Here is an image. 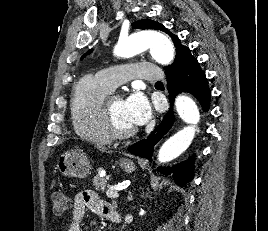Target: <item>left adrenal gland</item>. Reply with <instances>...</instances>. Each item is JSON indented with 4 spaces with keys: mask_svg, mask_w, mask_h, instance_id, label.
<instances>
[{
    "mask_svg": "<svg viewBox=\"0 0 268 231\" xmlns=\"http://www.w3.org/2000/svg\"><path fill=\"white\" fill-rule=\"evenodd\" d=\"M128 200L129 201H132L133 200V196H132V193L131 192H129Z\"/></svg>",
    "mask_w": 268,
    "mask_h": 231,
    "instance_id": "left-adrenal-gland-1",
    "label": "left adrenal gland"
}]
</instances>
